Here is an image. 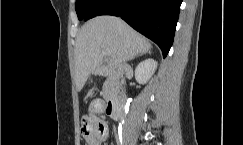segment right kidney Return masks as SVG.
Instances as JSON below:
<instances>
[{"instance_id":"ca27d5eb","label":"right kidney","mask_w":243,"mask_h":145,"mask_svg":"<svg viewBox=\"0 0 243 145\" xmlns=\"http://www.w3.org/2000/svg\"><path fill=\"white\" fill-rule=\"evenodd\" d=\"M158 63L154 59H146L138 64L135 69V79L140 84H145L157 69Z\"/></svg>"}]
</instances>
